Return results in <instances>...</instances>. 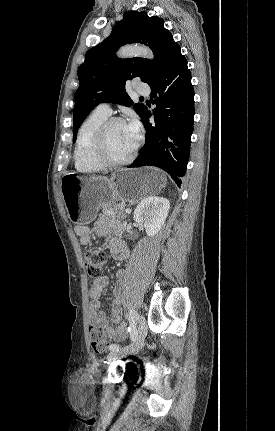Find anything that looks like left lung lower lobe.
<instances>
[{
  "instance_id": "obj_1",
  "label": "left lung lower lobe",
  "mask_w": 275,
  "mask_h": 431,
  "mask_svg": "<svg viewBox=\"0 0 275 431\" xmlns=\"http://www.w3.org/2000/svg\"><path fill=\"white\" fill-rule=\"evenodd\" d=\"M148 84L152 103L156 104L152 113L155 124L149 122L151 112L146 108L142 118L146 142L128 167H159L180 187L189 160L195 110L191 73L179 45L173 48L164 68Z\"/></svg>"
}]
</instances>
